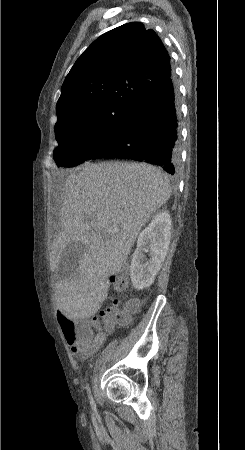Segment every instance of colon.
Segmentation results:
<instances>
[{"label":"colon","mask_w":245,"mask_h":450,"mask_svg":"<svg viewBox=\"0 0 245 450\" xmlns=\"http://www.w3.org/2000/svg\"><path fill=\"white\" fill-rule=\"evenodd\" d=\"M128 279L129 275L125 271H121L116 274L112 280L114 290L117 292L123 291L127 286ZM116 302L117 299L114 300V303ZM137 306V301L131 300L127 302L125 312L116 315L114 318H110L108 311H102L101 318L108 328H112L114 325L125 326L129 322L130 314L136 311ZM58 324L67 341H72L74 339L77 341H87L92 337V326L98 324V321L91 323L61 314L58 316Z\"/></svg>","instance_id":"5ec220e1"}]
</instances>
